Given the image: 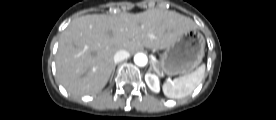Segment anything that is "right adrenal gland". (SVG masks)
<instances>
[{"instance_id":"obj_1","label":"right adrenal gland","mask_w":276,"mask_h":120,"mask_svg":"<svg viewBox=\"0 0 276 120\" xmlns=\"http://www.w3.org/2000/svg\"><path fill=\"white\" fill-rule=\"evenodd\" d=\"M116 65H117V64L114 65V68H113V71H112V74H111V78H112L113 75H114Z\"/></svg>"}]
</instances>
